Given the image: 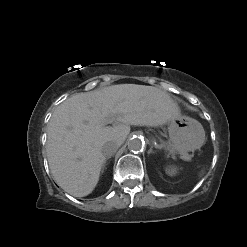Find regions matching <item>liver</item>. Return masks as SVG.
<instances>
[{"mask_svg":"<svg viewBox=\"0 0 247 247\" xmlns=\"http://www.w3.org/2000/svg\"><path fill=\"white\" fill-rule=\"evenodd\" d=\"M178 112L168 93L153 86L119 84L71 96L48 124L46 151L54 180L74 197L87 196L99 181L106 142L121 145L131 125L157 127Z\"/></svg>","mask_w":247,"mask_h":247,"instance_id":"obj_1","label":"liver"}]
</instances>
